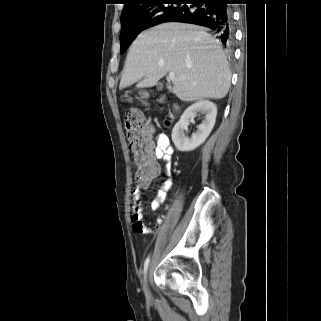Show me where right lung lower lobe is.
<instances>
[{
    "label": "right lung lower lobe",
    "instance_id": "right-lung-lower-lobe-1",
    "mask_svg": "<svg viewBox=\"0 0 321 321\" xmlns=\"http://www.w3.org/2000/svg\"><path fill=\"white\" fill-rule=\"evenodd\" d=\"M232 0H184L183 5L163 22H183L208 27L218 33L224 45L233 40Z\"/></svg>",
    "mask_w": 321,
    "mask_h": 321
}]
</instances>
